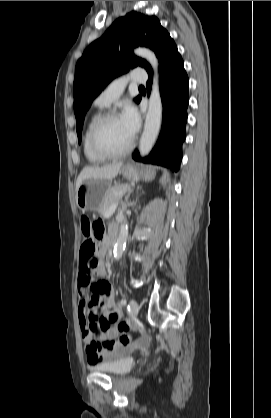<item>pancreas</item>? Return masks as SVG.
<instances>
[{
    "label": "pancreas",
    "mask_w": 271,
    "mask_h": 418,
    "mask_svg": "<svg viewBox=\"0 0 271 418\" xmlns=\"http://www.w3.org/2000/svg\"><path fill=\"white\" fill-rule=\"evenodd\" d=\"M130 189L129 185L121 184L116 185L109 189L104 197L103 203L99 208L98 212L105 217L106 212L108 209L118 201L123 194H125Z\"/></svg>",
    "instance_id": "pancreas-1"
}]
</instances>
